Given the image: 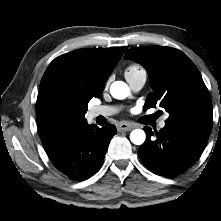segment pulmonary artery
Masks as SVG:
<instances>
[{
	"label": "pulmonary artery",
	"mask_w": 221,
	"mask_h": 221,
	"mask_svg": "<svg viewBox=\"0 0 221 221\" xmlns=\"http://www.w3.org/2000/svg\"><path fill=\"white\" fill-rule=\"evenodd\" d=\"M126 79L129 83L130 87L134 91H138L143 87L145 80H146V75H145V72L142 70L137 71L135 73L126 72ZM119 110H120V108L115 107V106H97L91 110L90 116L92 118L100 116V115L110 116V115L117 113ZM164 126H165L164 120L160 121L159 127L163 128Z\"/></svg>",
	"instance_id": "pulmonary-artery-1"
}]
</instances>
